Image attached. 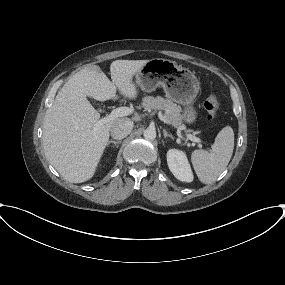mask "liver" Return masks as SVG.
Segmentation results:
<instances>
[{"label":"liver","instance_id":"obj_1","mask_svg":"<svg viewBox=\"0 0 285 285\" xmlns=\"http://www.w3.org/2000/svg\"><path fill=\"white\" fill-rule=\"evenodd\" d=\"M148 60H116L110 65V81L101 68L89 65L73 75L60 89L46 111L43 148L48 161L69 182L91 179L117 119L103 121L87 99L106 101L116 91L129 99L137 97L132 81Z\"/></svg>","mask_w":285,"mask_h":285}]
</instances>
